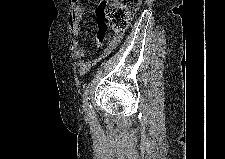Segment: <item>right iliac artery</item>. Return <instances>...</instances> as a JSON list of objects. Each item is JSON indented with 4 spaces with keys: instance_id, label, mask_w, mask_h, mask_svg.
I'll list each match as a JSON object with an SVG mask.
<instances>
[{
    "instance_id": "right-iliac-artery-1",
    "label": "right iliac artery",
    "mask_w": 225,
    "mask_h": 159,
    "mask_svg": "<svg viewBox=\"0 0 225 159\" xmlns=\"http://www.w3.org/2000/svg\"><path fill=\"white\" fill-rule=\"evenodd\" d=\"M83 108H84V111L89 116H91L92 106L89 101V90H87V89L84 91V94H83Z\"/></svg>"
}]
</instances>
